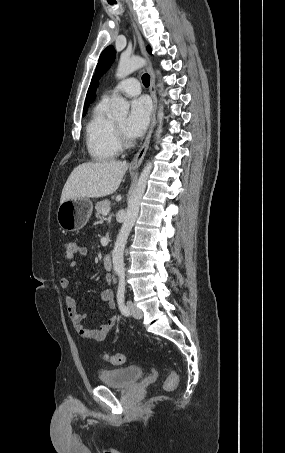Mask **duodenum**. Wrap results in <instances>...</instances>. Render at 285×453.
Instances as JSON below:
<instances>
[{
    "label": "duodenum",
    "mask_w": 285,
    "mask_h": 453,
    "mask_svg": "<svg viewBox=\"0 0 285 453\" xmlns=\"http://www.w3.org/2000/svg\"><path fill=\"white\" fill-rule=\"evenodd\" d=\"M103 265L106 269H111L112 268V257L109 254H105L103 256Z\"/></svg>",
    "instance_id": "410a0bca"
}]
</instances>
